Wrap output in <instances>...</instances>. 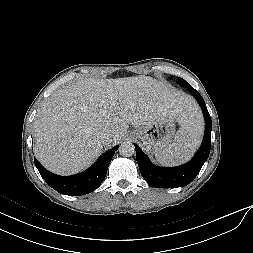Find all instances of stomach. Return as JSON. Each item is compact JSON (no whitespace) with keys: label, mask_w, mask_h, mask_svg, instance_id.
Wrapping results in <instances>:
<instances>
[{"label":"stomach","mask_w":253,"mask_h":253,"mask_svg":"<svg viewBox=\"0 0 253 253\" xmlns=\"http://www.w3.org/2000/svg\"><path fill=\"white\" fill-rule=\"evenodd\" d=\"M131 134L146 150L158 153L171 144L175 135V123L170 117H165L150 124L137 126Z\"/></svg>","instance_id":"1"}]
</instances>
